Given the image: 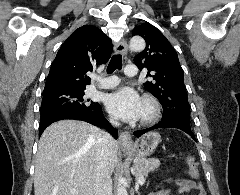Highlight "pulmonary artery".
Instances as JSON below:
<instances>
[{
  "mask_svg": "<svg viewBox=\"0 0 240 195\" xmlns=\"http://www.w3.org/2000/svg\"><path fill=\"white\" fill-rule=\"evenodd\" d=\"M136 66L135 65H127L126 69H124V74L127 76H136ZM117 78H106L103 79L100 83L101 87L103 88H110L118 83Z\"/></svg>",
  "mask_w": 240,
  "mask_h": 195,
  "instance_id": "1",
  "label": "pulmonary artery"
}]
</instances>
